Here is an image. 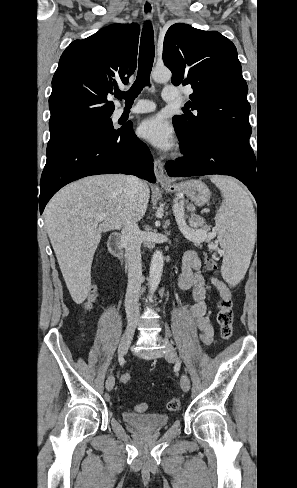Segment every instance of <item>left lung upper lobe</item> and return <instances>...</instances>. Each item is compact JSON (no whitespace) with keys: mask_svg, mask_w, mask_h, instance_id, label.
<instances>
[{"mask_svg":"<svg viewBox=\"0 0 297 488\" xmlns=\"http://www.w3.org/2000/svg\"><path fill=\"white\" fill-rule=\"evenodd\" d=\"M163 61L174 85L194 90L185 115L173 117L181 144L217 141L253 151L248 142V86L234 44L217 31L178 23L166 32Z\"/></svg>","mask_w":297,"mask_h":488,"instance_id":"left-lung-upper-lobe-1","label":"left lung upper lobe"}]
</instances>
